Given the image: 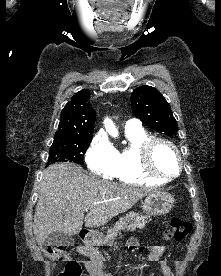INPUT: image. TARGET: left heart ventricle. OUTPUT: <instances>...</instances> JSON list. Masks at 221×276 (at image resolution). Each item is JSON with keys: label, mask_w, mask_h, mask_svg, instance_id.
<instances>
[{"label": "left heart ventricle", "mask_w": 221, "mask_h": 276, "mask_svg": "<svg viewBox=\"0 0 221 276\" xmlns=\"http://www.w3.org/2000/svg\"><path fill=\"white\" fill-rule=\"evenodd\" d=\"M153 163L158 172L164 175L175 174L178 162L173 150L166 144H158L153 152Z\"/></svg>", "instance_id": "left-heart-ventricle-1"}]
</instances>
